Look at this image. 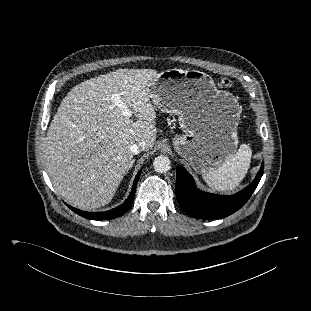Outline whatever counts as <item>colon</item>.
<instances>
[{"label":"colon","instance_id":"colon-1","mask_svg":"<svg viewBox=\"0 0 311 311\" xmlns=\"http://www.w3.org/2000/svg\"><path fill=\"white\" fill-rule=\"evenodd\" d=\"M219 84L221 87L227 88L230 87L232 83L228 79H222Z\"/></svg>","mask_w":311,"mask_h":311}]
</instances>
